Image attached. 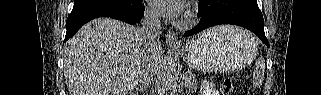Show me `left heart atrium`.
Listing matches in <instances>:
<instances>
[{"instance_id": "39dd6f15", "label": "left heart atrium", "mask_w": 321, "mask_h": 95, "mask_svg": "<svg viewBox=\"0 0 321 95\" xmlns=\"http://www.w3.org/2000/svg\"><path fill=\"white\" fill-rule=\"evenodd\" d=\"M151 4L159 13L175 16L183 10L185 2L182 0H151Z\"/></svg>"}]
</instances>
